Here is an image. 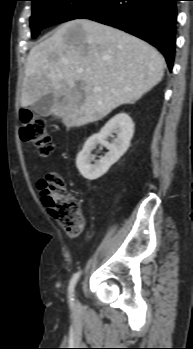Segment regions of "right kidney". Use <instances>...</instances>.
<instances>
[{"mask_svg":"<svg viewBox=\"0 0 193 349\" xmlns=\"http://www.w3.org/2000/svg\"><path fill=\"white\" fill-rule=\"evenodd\" d=\"M116 134L111 143L108 136ZM134 133V124L126 113H119L110 119L98 134L92 135L84 144L76 158V166L80 174L88 180H96L103 176L127 151ZM101 144L109 151L104 157L94 161L91 151ZM92 161L94 163L92 164Z\"/></svg>","mask_w":193,"mask_h":349,"instance_id":"1","label":"right kidney"}]
</instances>
